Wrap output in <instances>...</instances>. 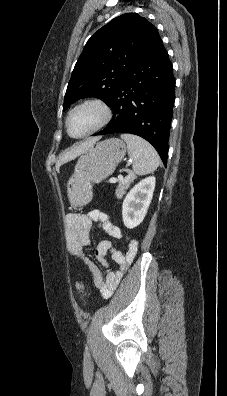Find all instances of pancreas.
Listing matches in <instances>:
<instances>
[{"mask_svg":"<svg viewBox=\"0 0 227 396\" xmlns=\"http://www.w3.org/2000/svg\"><path fill=\"white\" fill-rule=\"evenodd\" d=\"M134 179H135V176L130 174L128 177H125L118 181L119 184H118L116 192H115L116 197L118 199H121L123 197L126 190L129 188L130 184L133 182Z\"/></svg>","mask_w":227,"mask_h":396,"instance_id":"pancreas-1","label":"pancreas"}]
</instances>
